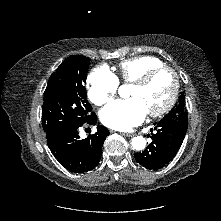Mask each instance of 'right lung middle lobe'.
Returning a JSON list of instances; mask_svg holds the SVG:
<instances>
[{"mask_svg":"<svg viewBox=\"0 0 221 221\" xmlns=\"http://www.w3.org/2000/svg\"><path fill=\"white\" fill-rule=\"evenodd\" d=\"M89 63L90 58L85 56H69L51 75L42 106V124L47 136L83 124L94 114L84 86Z\"/></svg>","mask_w":221,"mask_h":221,"instance_id":"obj_1","label":"right lung middle lobe"}]
</instances>
